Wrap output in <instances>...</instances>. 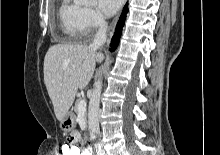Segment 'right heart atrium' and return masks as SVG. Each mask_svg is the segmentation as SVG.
<instances>
[{
	"mask_svg": "<svg viewBox=\"0 0 220 155\" xmlns=\"http://www.w3.org/2000/svg\"><path fill=\"white\" fill-rule=\"evenodd\" d=\"M106 24L104 17L96 10L84 8L83 29L84 34H90L93 31L104 27Z\"/></svg>",
	"mask_w": 220,
	"mask_h": 155,
	"instance_id": "right-heart-atrium-1",
	"label": "right heart atrium"
}]
</instances>
